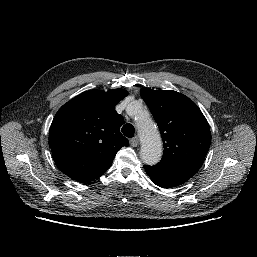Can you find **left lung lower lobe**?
I'll return each instance as SVG.
<instances>
[{
  "label": "left lung lower lobe",
  "mask_w": 257,
  "mask_h": 257,
  "mask_svg": "<svg viewBox=\"0 0 257 257\" xmlns=\"http://www.w3.org/2000/svg\"><path fill=\"white\" fill-rule=\"evenodd\" d=\"M144 169L151 180L159 187L172 188L185 183L189 178L178 173H171L155 166L144 165Z\"/></svg>",
  "instance_id": "0a47b994"
}]
</instances>
